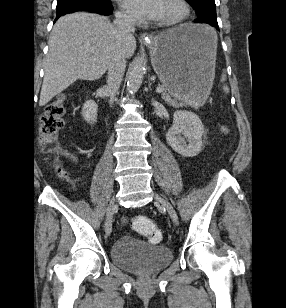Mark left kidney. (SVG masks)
Instances as JSON below:
<instances>
[{"label": "left kidney", "mask_w": 286, "mask_h": 308, "mask_svg": "<svg viewBox=\"0 0 286 308\" xmlns=\"http://www.w3.org/2000/svg\"><path fill=\"white\" fill-rule=\"evenodd\" d=\"M203 133L204 125L196 114L179 110L173 115V125L166 133V140L178 154L194 157L201 150Z\"/></svg>", "instance_id": "obj_1"}]
</instances>
